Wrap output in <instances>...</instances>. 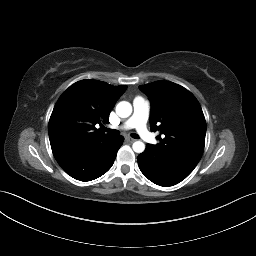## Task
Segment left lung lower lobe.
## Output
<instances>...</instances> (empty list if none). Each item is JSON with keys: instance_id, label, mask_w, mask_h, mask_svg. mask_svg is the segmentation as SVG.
<instances>
[{"instance_id": "left-lung-lower-lobe-1", "label": "left lung lower lobe", "mask_w": 256, "mask_h": 256, "mask_svg": "<svg viewBox=\"0 0 256 256\" xmlns=\"http://www.w3.org/2000/svg\"><path fill=\"white\" fill-rule=\"evenodd\" d=\"M141 172L146 178L160 186H173L184 180L191 172L179 169L153 155L150 144L137 157Z\"/></svg>"}]
</instances>
